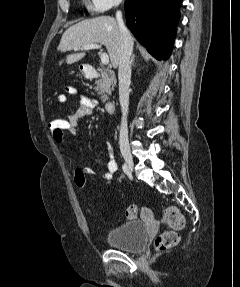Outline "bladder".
Returning <instances> with one entry per match:
<instances>
[{
	"instance_id": "obj_1",
	"label": "bladder",
	"mask_w": 240,
	"mask_h": 287,
	"mask_svg": "<svg viewBox=\"0 0 240 287\" xmlns=\"http://www.w3.org/2000/svg\"><path fill=\"white\" fill-rule=\"evenodd\" d=\"M148 240V229L142 221H130L111 229L106 235L107 243L127 252L141 251Z\"/></svg>"
}]
</instances>
